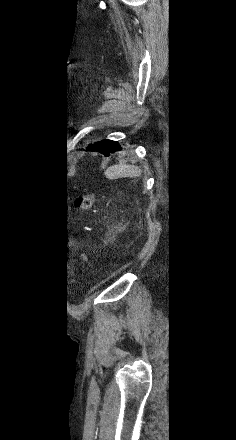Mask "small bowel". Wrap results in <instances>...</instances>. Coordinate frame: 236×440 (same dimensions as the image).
Here are the masks:
<instances>
[{
	"instance_id": "obj_1",
	"label": "small bowel",
	"mask_w": 236,
	"mask_h": 440,
	"mask_svg": "<svg viewBox=\"0 0 236 440\" xmlns=\"http://www.w3.org/2000/svg\"><path fill=\"white\" fill-rule=\"evenodd\" d=\"M81 257H82L83 260L86 259V255L85 254H82Z\"/></svg>"
}]
</instances>
